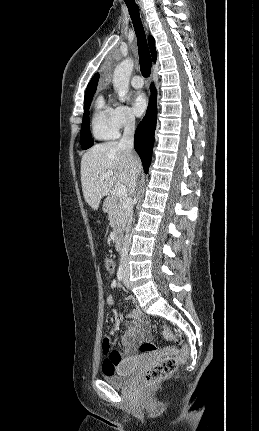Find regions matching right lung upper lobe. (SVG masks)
<instances>
[{
  "mask_svg": "<svg viewBox=\"0 0 259 431\" xmlns=\"http://www.w3.org/2000/svg\"><path fill=\"white\" fill-rule=\"evenodd\" d=\"M148 43H149V47H150V51H151V55H152V59L155 62L156 61V56H157V52L155 49V40L152 36H149L148 38ZM99 80V74L96 73L92 79L90 80L87 89H86V93L85 94H89L91 92H95L96 88H97V83Z\"/></svg>",
  "mask_w": 259,
  "mask_h": 431,
  "instance_id": "1",
  "label": "right lung upper lobe"
}]
</instances>
